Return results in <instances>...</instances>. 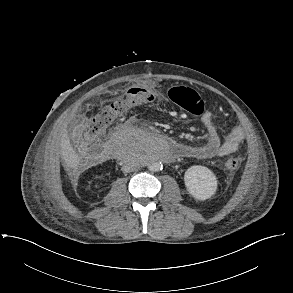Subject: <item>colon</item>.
<instances>
[{
	"label": "colon",
	"mask_w": 293,
	"mask_h": 293,
	"mask_svg": "<svg viewBox=\"0 0 293 293\" xmlns=\"http://www.w3.org/2000/svg\"><path fill=\"white\" fill-rule=\"evenodd\" d=\"M154 93L144 87L136 86L130 88L126 94L101 108L94 116L87 121L85 138L94 140L102 135L105 130L116 122L123 114L130 109L151 103ZM173 101L187 111L194 112L200 106L202 100L199 95L190 88L177 87L172 91ZM213 125H220L222 117L217 112L209 114ZM241 160L238 155L228 152L224 155V167L228 171H235L239 168Z\"/></svg>",
	"instance_id": "obj_1"
}]
</instances>
